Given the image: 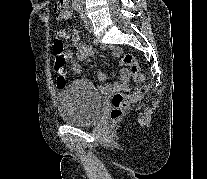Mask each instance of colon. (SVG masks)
<instances>
[{"label":"colon","instance_id":"colon-1","mask_svg":"<svg viewBox=\"0 0 207 179\" xmlns=\"http://www.w3.org/2000/svg\"><path fill=\"white\" fill-rule=\"evenodd\" d=\"M67 9V0H54V14L56 18L60 19L65 10ZM54 68L58 76L60 85L66 83L67 75V58L64 53L63 43L61 38L57 35L54 36ZM121 64L130 68L134 79L140 86L136 87L130 94L123 92H115L111 98L112 110L110 117L115 120L121 117L128 107L129 103L138 101L149 90V85L146 83L145 76L140 72L135 58L131 54H124L121 59Z\"/></svg>","mask_w":207,"mask_h":179}]
</instances>
